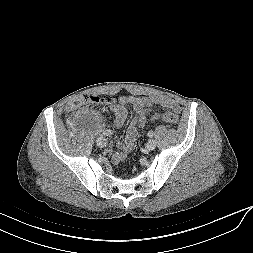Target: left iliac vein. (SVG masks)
<instances>
[{"label": "left iliac vein", "instance_id": "obj_1", "mask_svg": "<svg viewBox=\"0 0 253 253\" xmlns=\"http://www.w3.org/2000/svg\"><path fill=\"white\" fill-rule=\"evenodd\" d=\"M146 147L148 150H153L155 149L156 147V141L154 139H149L147 144H146Z\"/></svg>", "mask_w": 253, "mask_h": 253}]
</instances>
